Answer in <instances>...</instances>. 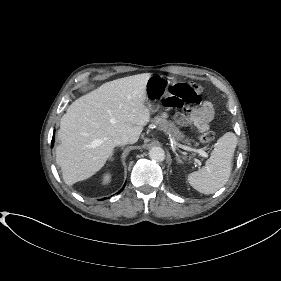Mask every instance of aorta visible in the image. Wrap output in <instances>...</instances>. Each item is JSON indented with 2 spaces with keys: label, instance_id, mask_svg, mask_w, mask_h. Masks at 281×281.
<instances>
[{
  "label": "aorta",
  "instance_id": "1",
  "mask_svg": "<svg viewBox=\"0 0 281 281\" xmlns=\"http://www.w3.org/2000/svg\"><path fill=\"white\" fill-rule=\"evenodd\" d=\"M149 157L156 162H162L165 159V152L161 147H153L149 150Z\"/></svg>",
  "mask_w": 281,
  "mask_h": 281
}]
</instances>
